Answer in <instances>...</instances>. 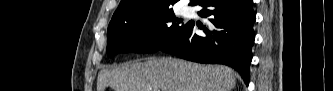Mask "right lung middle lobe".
Instances as JSON below:
<instances>
[{"label":"right lung middle lobe","instance_id":"obj_1","mask_svg":"<svg viewBox=\"0 0 333 91\" xmlns=\"http://www.w3.org/2000/svg\"><path fill=\"white\" fill-rule=\"evenodd\" d=\"M173 10L109 23L107 54L153 53L170 43L185 27Z\"/></svg>","mask_w":333,"mask_h":91}]
</instances>
